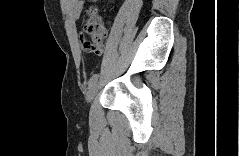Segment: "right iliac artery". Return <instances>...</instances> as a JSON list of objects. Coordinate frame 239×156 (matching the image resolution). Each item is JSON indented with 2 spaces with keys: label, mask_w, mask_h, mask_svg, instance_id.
Masks as SVG:
<instances>
[{
  "label": "right iliac artery",
  "mask_w": 239,
  "mask_h": 156,
  "mask_svg": "<svg viewBox=\"0 0 239 156\" xmlns=\"http://www.w3.org/2000/svg\"><path fill=\"white\" fill-rule=\"evenodd\" d=\"M98 74H94L91 78H90V80H89V87H91L96 81H97V79H98Z\"/></svg>",
  "instance_id": "obj_1"
}]
</instances>
